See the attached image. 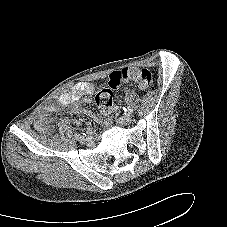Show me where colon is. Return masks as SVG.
<instances>
[{"instance_id": "colon-1", "label": "colon", "mask_w": 227, "mask_h": 227, "mask_svg": "<svg viewBox=\"0 0 227 227\" xmlns=\"http://www.w3.org/2000/svg\"><path fill=\"white\" fill-rule=\"evenodd\" d=\"M127 81H133L141 89H147L152 85L153 77L149 70L141 67H126L112 72L109 75L108 86L100 90L96 97L97 107L106 112L112 106L113 91Z\"/></svg>"}]
</instances>
